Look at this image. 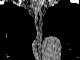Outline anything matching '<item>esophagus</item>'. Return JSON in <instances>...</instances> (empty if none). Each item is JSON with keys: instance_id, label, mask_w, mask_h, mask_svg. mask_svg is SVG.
Returning a JSON list of instances; mask_svg holds the SVG:
<instances>
[{"instance_id": "1", "label": "esophagus", "mask_w": 80, "mask_h": 60, "mask_svg": "<svg viewBox=\"0 0 80 60\" xmlns=\"http://www.w3.org/2000/svg\"><path fill=\"white\" fill-rule=\"evenodd\" d=\"M34 4V21L36 26V33H37V41L38 45H41L42 40V10L38 3V1H33Z\"/></svg>"}]
</instances>
